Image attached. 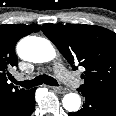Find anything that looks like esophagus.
<instances>
[{
	"label": "esophagus",
	"mask_w": 116,
	"mask_h": 116,
	"mask_svg": "<svg viewBox=\"0 0 116 116\" xmlns=\"http://www.w3.org/2000/svg\"><path fill=\"white\" fill-rule=\"evenodd\" d=\"M55 92L59 93V94H64L67 92V89L66 88H63V87H51Z\"/></svg>",
	"instance_id": "obj_1"
}]
</instances>
